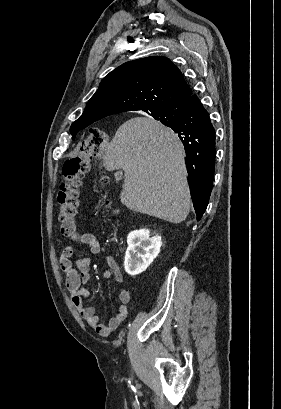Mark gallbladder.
<instances>
[{"label": "gallbladder", "mask_w": 281, "mask_h": 409, "mask_svg": "<svg viewBox=\"0 0 281 409\" xmlns=\"http://www.w3.org/2000/svg\"><path fill=\"white\" fill-rule=\"evenodd\" d=\"M118 174H119V172H115V176H118ZM120 176H121V174H120Z\"/></svg>", "instance_id": "obj_1"}]
</instances>
